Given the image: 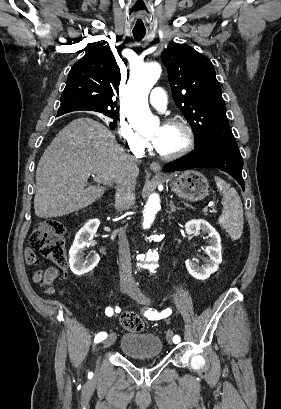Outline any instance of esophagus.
<instances>
[{
	"label": "esophagus",
	"instance_id": "obj_1",
	"mask_svg": "<svg viewBox=\"0 0 281 409\" xmlns=\"http://www.w3.org/2000/svg\"><path fill=\"white\" fill-rule=\"evenodd\" d=\"M150 169L155 172L156 174H159L161 171V165L158 162H152L150 164Z\"/></svg>",
	"mask_w": 281,
	"mask_h": 409
}]
</instances>
